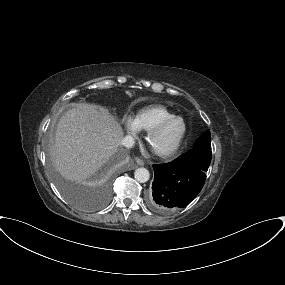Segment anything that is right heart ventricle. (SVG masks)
<instances>
[{
    "label": "right heart ventricle",
    "mask_w": 285,
    "mask_h": 285,
    "mask_svg": "<svg viewBox=\"0 0 285 285\" xmlns=\"http://www.w3.org/2000/svg\"><path fill=\"white\" fill-rule=\"evenodd\" d=\"M174 116V113L163 105H151L140 109L134 117L138 130L149 131L165 118Z\"/></svg>",
    "instance_id": "right-heart-ventricle-1"
}]
</instances>
